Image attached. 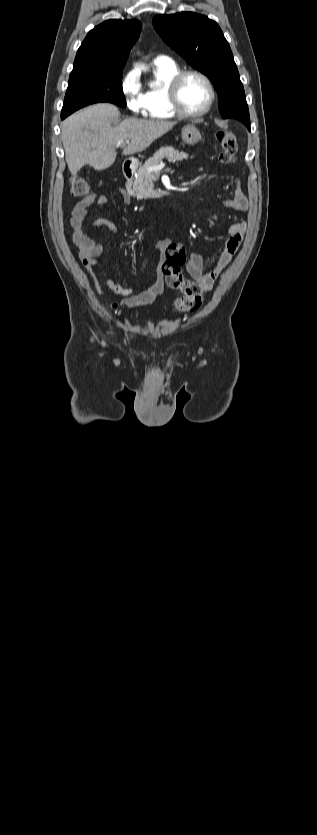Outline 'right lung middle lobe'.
Masks as SVG:
<instances>
[{"mask_svg": "<svg viewBox=\"0 0 317 835\" xmlns=\"http://www.w3.org/2000/svg\"><path fill=\"white\" fill-rule=\"evenodd\" d=\"M122 71L105 68L74 69L69 77L61 115L68 116L84 106L98 102L125 107Z\"/></svg>", "mask_w": 317, "mask_h": 835, "instance_id": "dd1d6c3e", "label": "right lung middle lobe"}]
</instances>
